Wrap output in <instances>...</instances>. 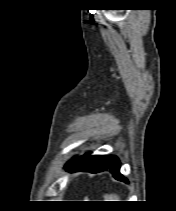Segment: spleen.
Masks as SVG:
<instances>
[{"mask_svg": "<svg viewBox=\"0 0 176 211\" xmlns=\"http://www.w3.org/2000/svg\"><path fill=\"white\" fill-rule=\"evenodd\" d=\"M104 201H120L119 196L116 194H105Z\"/></svg>", "mask_w": 176, "mask_h": 211, "instance_id": "spleen-1", "label": "spleen"}]
</instances>
